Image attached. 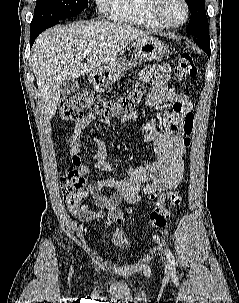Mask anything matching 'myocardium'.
Instances as JSON below:
<instances>
[{"label":"myocardium","mask_w":239,"mask_h":303,"mask_svg":"<svg viewBox=\"0 0 239 303\" xmlns=\"http://www.w3.org/2000/svg\"><path fill=\"white\" fill-rule=\"evenodd\" d=\"M181 2L184 6V19L179 24H170L163 19L160 13V6L162 0H150V3L148 4V10L150 12L153 21L159 26H161L162 28L177 29L185 25L190 15V8L187 0H181Z\"/></svg>","instance_id":"myocardium-1"}]
</instances>
